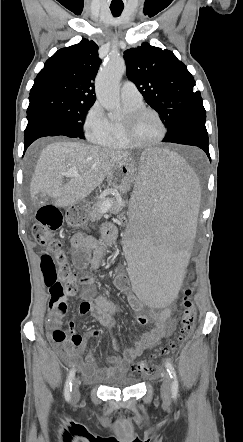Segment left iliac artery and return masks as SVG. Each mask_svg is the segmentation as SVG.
Wrapping results in <instances>:
<instances>
[{
	"mask_svg": "<svg viewBox=\"0 0 243 442\" xmlns=\"http://www.w3.org/2000/svg\"><path fill=\"white\" fill-rule=\"evenodd\" d=\"M165 366H166L167 371L172 379V384H171L172 395L174 398H176L177 394H178V389H179L176 371H175L173 365L169 361H166Z\"/></svg>",
	"mask_w": 243,
	"mask_h": 442,
	"instance_id": "left-iliac-artery-1",
	"label": "left iliac artery"
}]
</instances>
